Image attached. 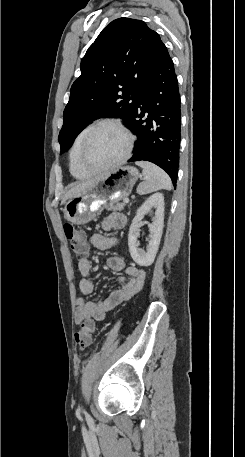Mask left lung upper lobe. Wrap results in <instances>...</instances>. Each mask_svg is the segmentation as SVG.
I'll return each instance as SVG.
<instances>
[{
	"mask_svg": "<svg viewBox=\"0 0 245 457\" xmlns=\"http://www.w3.org/2000/svg\"><path fill=\"white\" fill-rule=\"evenodd\" d=\"M160 41L141 20L119 18L103 29L83 57L81 75L71 87L59 134L61 154L93 120L120 117L129 124Z\"/></svg>",
	"mask_w": 245,
	"mask_h": 457,
	"instance_id": "obj_1",
	"label": "left lung upper lobe"
}]
</instances>
